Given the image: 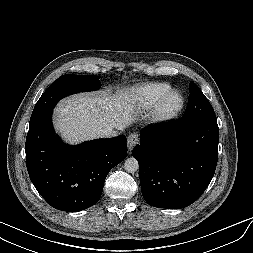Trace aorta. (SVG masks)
I'll return each instance as SVG.
<instances>
[{
  "label": "aorta",
  "mask_w": 253,
  "mask_h": 253,
  "mask_svg": "<svg viewBox=\"0 0 253 253\" xmlns=\"http://www.w3.org/2000/svg\"><path fill=\"white\" fill-rule=\"evenodd\" d=\"M138 168H139V164H138L137 159L130 157L125 160L124 169L126 170V172L135 173L138 170Z\"/></svg>",
  "instance_id": "aorta-1"
}]
</instances>
